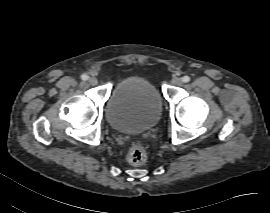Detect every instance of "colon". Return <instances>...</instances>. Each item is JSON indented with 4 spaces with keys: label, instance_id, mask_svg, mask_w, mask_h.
Listing matches in <instances>:
<instances>
[{
    "label": "colon",
    "instance_id": "1",
    "mask_svg": "<svg viewBox=\"0 0 270 213\" xmlns=\"http://www.w3.org/2000/svg\"><path fill=\"white\" fill-rule=\"evenodd\" d=\"M146 148L140 141L129 144L126 150V161L132 165H140L146 160Z\"/></svg>",
    "mask_w": 270,
    "mask_h": 213
}]
</instances>
